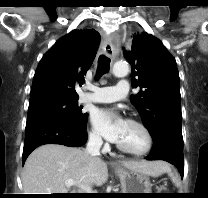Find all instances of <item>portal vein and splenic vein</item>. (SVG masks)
<instances>
[{
	"mask_svg": "<svg viewBox=\"0 0 208 198\" xmlns=\"http://www.w3.org/2000/svg\"><path fill=\"white\" fill-rule=\"evenodd\" d=\"M75 185V181L72 179H69L66 181V186H72ZM82 189L86 192V193H95L94 191H92L91 188L89 187H82Z\"/></svg>",
	"mask_w": 208,
	"mask_h": 198,
	"instance_id": "1",
	"label": "portal vein and splenic vein"
}]
</instances>
